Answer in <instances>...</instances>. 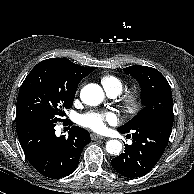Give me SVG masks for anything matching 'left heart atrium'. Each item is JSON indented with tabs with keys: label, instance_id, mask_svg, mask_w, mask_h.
I'll return each mask as SVG.
<instances>
[{
	"label": "left heart atrium",
	"instance_id": "1",
	"mask_svg": "<svg viewBox=\"0 0 194 194\" xmlns=\"http://www.w3.org/2000/svg\"><path fill=\"white\" fill-rule=\"evenodd\" d=\"M116 116L111 112H89L82 117V124L94 131H103L106 124H115Z\"/></svg>",
	"mask_w": 194,
	"mask_h": 194
}]
</instances>
